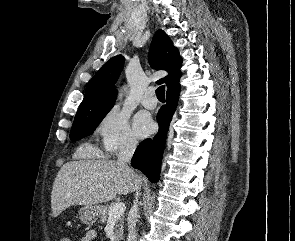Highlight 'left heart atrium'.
Returning <instances> with one entry per match:
<instances>
[{"label": "left heart atrium", "mask_w": 295, "mask_h": 241, "mask_svg": "<svg viewBox=\"0 0 295 241\" xmlns=\"http://www.w3.org/2000/svg\"><path fill=\"white\" fill-rule=\"evenodd\" d=\"M133 129L138 138L148 136L153 130V122L145 114H137L133 119Z\"/></svg>", "instance_id": "left-heart-atrium-1"}]
</instances>
